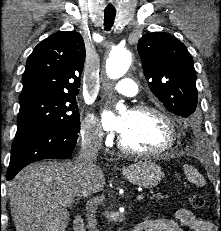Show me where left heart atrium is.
<instances>
[{
  "mask_svg": "<svg viewBox=\"0 0 221 231\" xmlns=\"http://www.w3.org/2000/svg\"><path fill=\"white\" fill-rule=\"evenodd\" d=\"M102 125L105 129L122 133L126 127V119L123 116H115L111 112L103 114Z\"/></svg>",
  "mask_w": 221,
  "mask_h": 231,
  "instance_id": "1",
  "label": "left heart atrium"
}]
</instances>
